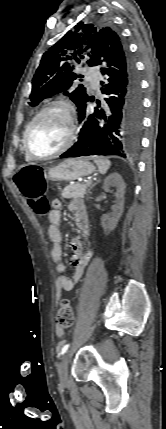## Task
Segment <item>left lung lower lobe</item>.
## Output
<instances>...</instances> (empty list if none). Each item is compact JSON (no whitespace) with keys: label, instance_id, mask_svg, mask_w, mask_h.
I'll return each instance as SVG.
<instances>
[{"label":"left lung lower lobe","instance_id":"0a47b994","mask_svg":"<svg viewBox=\"0 0 166 429\" xmlns=\"http://www.w3.org/2000/svg\"><path fill=\"white\" fill-rule=\"evenodd\" d=\"M105 42V41H104ZM98 51L105 95L94 113L87 115L88 97L78 111L81 124L77 142L61 157L117 155L129 157L139 147L142 128V93L135 63L120 37L114 36Z\"/></svg>","mask_w":166,"mask_h":429}]
</instances>
